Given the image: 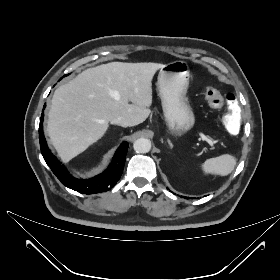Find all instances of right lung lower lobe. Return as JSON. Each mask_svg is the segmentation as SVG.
<instances>
[{
    "label": "right lung lower lobe",
    "mask_w": 280,
    "mask_h": 280,
    "mask_svg": "<svg viewBox=\"0 0 280 280\" xmlns=\"http://www.w3.org/2000/svg\"><path fill=\"white\" fill-rule=\"evenodd\" d=\"M43 118L44 113L42 112L39 125L41 153L47 165L51 168L52 172L63 185L83 194L106 192L115 186L123 172L126 154L129 147L128 143L124 142L121 144L115 153L112 163L103 173L91 179H76L70 175L66 167L61 165V163H59L56 157L49 150L43 134Z\"/></svg>",
    "instance_id": "right-lung-lower-lobe-1"
}]
</instances>
